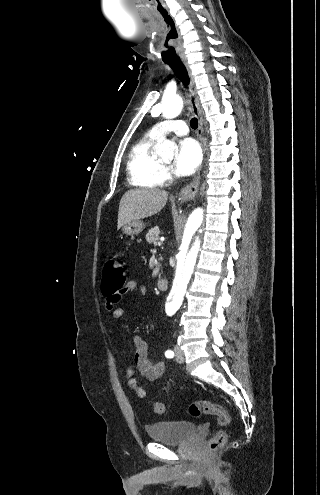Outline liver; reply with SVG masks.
I'll use <instances>...</instances> for the list:
<instances>
[{
  "label": "liver",
  "mask_w": 320,
  "mask_h": 495,
  "mask_svg": "<svg viewBox=\"0 0 320 495\" xmlns=\"http://www.w3.org/2000/svg\"><path fill=\"white\" fill-rule=\"evenodd\" d=\"M168 193L158 189H132L121 198L117 229L130 221L150 217L166 205Z\"/></svg>",
  "instance_id": "1"
}]
</instances>
